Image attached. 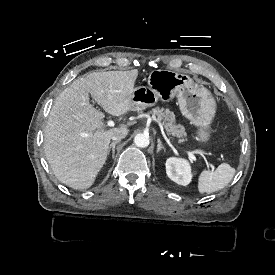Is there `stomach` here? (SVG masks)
I'll return each mask as SVG.
<instances>
[{"label": "stomach", "mask_w": 275, "mask_h": 275, "mask_svg": "<svg viewBox=\"0 0 275 275\" xmlns=\"http://www.w3.org/2000/svg\"><path fill=\"white\" fill-rule=\"evenodd\" d=\"M144 79L148 87L133 89L130 111H141L158 100L168 102L176 96L182 115L200 127L195 139L203 143L209 140L210 124L216 113V101L210 90L194 83L188 75L171 70L148 68Z\"/></svg>", "instance_id": "0dacf381"}]
</instances>
